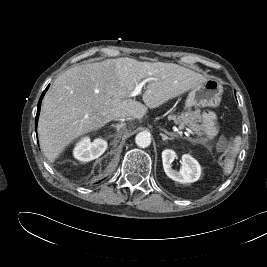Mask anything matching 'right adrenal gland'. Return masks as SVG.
<instances>
[{
	"label": "right adrenal gland",
	"instance_id": "2a0ac1e0",
	"mask_svg": "<svg viewBox=\"0 0 267 267\" xmlns=\"http://www.w3.org/2000/svg\"><path fill=\"white\" fill-rule=\"evenodd\" d=\"M124 126H125V123L116 124V125L112 124V125H111V127L116 128L117 132H119V130H120L122 127H124Z\"/></svg>",
	"mask_w": 267,
	"mask_h": 267
}]
</instances>
